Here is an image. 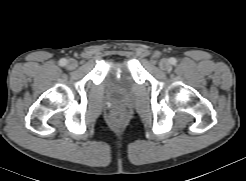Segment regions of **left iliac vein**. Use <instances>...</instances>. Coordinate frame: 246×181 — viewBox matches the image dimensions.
Here are the masks:
<instances>
[{"label":"left iliac vein","instance_id":"left-iliac-vein-1","mask_svg":"<svg viewBox=\"0 0 246 181\" xmlns=\"http://www.w3.org/2000/svg\"><path fill=\"white\" fill-rule=\"evenodd\" d=\"M159 67L162 69V70H168L171 65H170V62L167 60V59H162L160 62H159Z\"/></svg>","mask_w":246,"mask_h":181}]
</instances>
